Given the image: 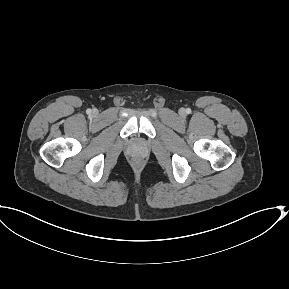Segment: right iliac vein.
<instances>
[{
	"mask_svg": "<svg viewBox=\"0 0 289 289\" xmlns=\"http://www.w3.org/2000/svg\"><path fill=\"white\" fill-rule=\"evenodd\" d=\"M94 115H97V110H93V112H92Z\"/></svg>",
	"mask_w": 289,
	"mask_h": 289,
	"instance_id": "63e3f726",
	"label": "right iliac vein"
}]
</instances>
